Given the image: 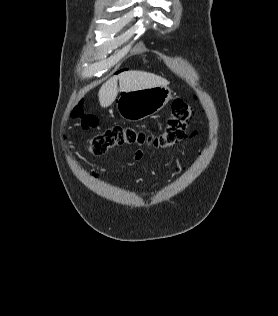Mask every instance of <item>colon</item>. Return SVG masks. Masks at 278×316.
Masks as SVG:
<instances>
[{"instance_id": "obj_1", "label": "colon", "mask_w": 278, "mask_h": 316, "mask_svg": "<svg viewBox=\"0 0 278 316\" xmlns=\"http://www.w3.org/2000/svg\"><path fill=\"white\" fill-rule=\"evenodd\" d=\"M80 119L83 129H96L98 118L86 114L83 104H78L73 112ZM194 118V110L183 100H174L171 113L167 118L164 130L157 134H149L133 127L115 125L96 134L89 143V151L96 156L105 154L108 150L123 145H148L156 148H169L186 137V125Z\"/></svg>"}]
</instances>
